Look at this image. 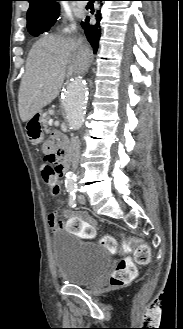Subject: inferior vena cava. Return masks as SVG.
<instances>
[{"mask_svg":"<svg viewBox=\"0 0 183 329\" xmlns=\"http://www.w3.org/2000/svg\"><path fill=\"white\" fill-rule=\"evenodd\" d=\"M78 60L81 64V68L83 72H85L89 68L91 62L90 49L88 48L80 49L78 52ZM70 155H71L72 169L73 171H76L79 165V157H80V141L78 137L71 138Z\"/></svg>","mask_w":183,"mask_h":329,"instance_id":"obj_1","label":"inferior vena cava"}]
</instances>
